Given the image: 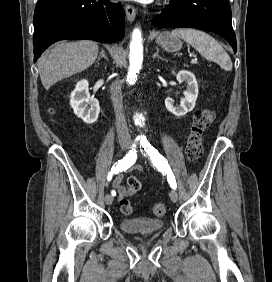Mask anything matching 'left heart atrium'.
Instances as JSON below:
<instances>
[{
	"label": "left heart atrium",
	"instance_id": "obj_1",
	"mask_svg": "<svg viewBox=\"0 0 272 282\" xmlns=\"http://www.w3.org/2000/svg\"><path fill=\"white\" fill-rule=\"evenodd\" d=\"M135 1H140V2H145V3H147V2H149V1H151V0H135Z\"/></svg>",
	"mask_w": 272,
	"mask_h": 282
}]
</instances>
